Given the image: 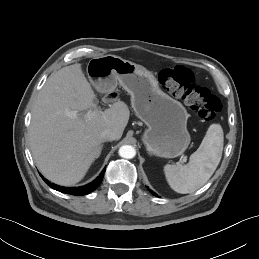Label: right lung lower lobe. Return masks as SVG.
I'll return each mask as SVG.
<instances>
[{
	"label": "right lung lower lobe",
	"mask_w": 259,
	"mask_h": 259,
	"mask_svg": "<svg viewBox=\"0 0 259 259\" xmlns=\"http://www.w3.org/2000/svg\"><path fill=\"white\" fill-rule=\"evenodd\" d=\"M104 173H105V168L103 169V171L101 172L99 177H97L92 183L82 186V187H62V186H58L56 184L51 183L50 181L45 179L43 176H41V177L43 178L45 183H47V185H49L52 189H55L62 193L80 196V195L89 194L92 191H94L101 184L103 177H104Z\"/></svg>",
	"instance_id": "right-lung-lower-lobe-1"
}]
</instances>
